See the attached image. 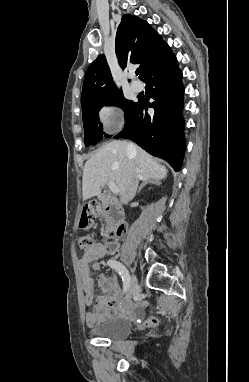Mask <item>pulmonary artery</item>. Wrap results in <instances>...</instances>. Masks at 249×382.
Wrapping results in <instances>:
<instances>
[{
  "label": "pulmonary artery",
  "instance_id": "obj_1",
  "mask_svg": "<svg viewBox=\"0 0 249 382\" xmlns=\"http://www.w3.org/2000/svg\"><path fill=\"white\" fill-rule=\"evenodd\" d=\"M131 76L133 77L134 74L132 73ZM131 87L134 91H140L143 87L142 83L138 80H133L132 83H131Z\"/></svg>",
  "mask_w": 249,
  "mask_h": 382
}]
</instances>
